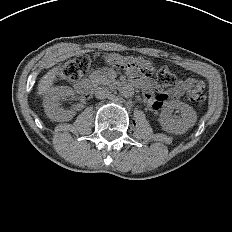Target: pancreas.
Returning a JSON list of instances; mask_svg holds the SVG:
<instances>
[{
	"label": "pancreas",
	"instance_id": "1",
	"mask_svg": "<svg viewBox=\"0 0 232 232\" xmlns=\"http://www.w3.org/2000/svg\"><path fill=\"white\" fill-rule=\"evenodd\" d=\"M102 79H103V81L108 80V78L105 75H104V77Z\"/></svg>",
	"mask_w": 232,
	"mask_h": 232
}]
</instances>
